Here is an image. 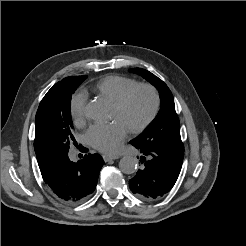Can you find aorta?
<instances>
[{
  "label": "aorta",
  "mask_w": 246,
  "mask_h": 246,
  "mask_svg": "<svg viewBox=\"0 0 246 246\" xmlns=\"http://www.w3.org/2000/svg\"><path fill=\"white\" fill-rule=\"evenodd\" d=\"M85 113L88 118L100 121L107 116V108L98 101H92L87 104ZM119 168L125 174H133L137 171L138 160L132 156H124L119 162Z\"/></svg>",
  "instance_id": "aorta-1"
}]
</instances>
